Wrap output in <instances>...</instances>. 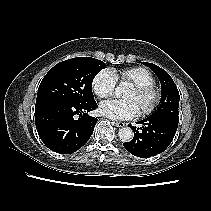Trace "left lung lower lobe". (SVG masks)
Wrapping results in <instances>:
<instances>
[{
  "instance_id": "obj_1",
  "label": "left lung lower lobe",
  "mask_w": 211,
  "mask_h": 211,
  "mask_svg": "<svg viewBox=\"0 0 211 211\" xmlns=\"http://www.w3.org/2000/svg\"><path fill=\"white\" fill-rule=\"evenodd\" d=\"M143 126L133 127L132 141L123 143L131 154L141 158H148L162 153L172 142L178 123L160 117H147L138 122Z\"/></svg>"
}]
</instances>
